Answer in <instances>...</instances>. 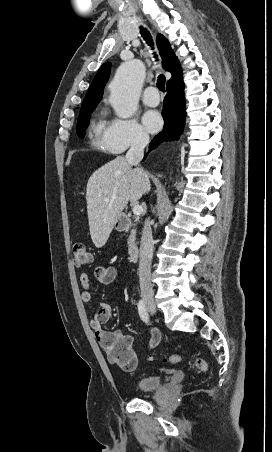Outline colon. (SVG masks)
I'll return each mask as SVG.
<instances>
[{"instance_id":"obj_1","label":"colon","mask_w":272,"mask_h":452,"mask_svg":"<svg viewBox=\"0 0 272 452\" xmlns=\"http://www.w3.org/2000/svg\"><path fill=\"white\" fill-rule=\"evenodd\" d=\"M93 263V256L86 245L76 243L73 247V264L77 269L90 266ZM108 359L124 370H132L136 367V356L130 348L127 338L116 339L109 347ZM165 362L177 363L180 361L178 355H171L164 358ZM195 365L200 372L208 370V364L202 357H197Z\"/></svg>"}]
</instances>
